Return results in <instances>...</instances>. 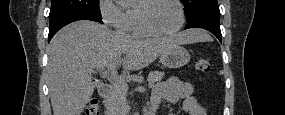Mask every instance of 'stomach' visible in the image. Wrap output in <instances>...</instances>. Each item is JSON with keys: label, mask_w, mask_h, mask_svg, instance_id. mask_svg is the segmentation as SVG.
Instances as JSON below:
<instances>
[{"label": "stomach", "mask_w": 285, "mask_h": 115, "mask_svg": "<svg viewBox=\"0 0 285 115\" xmlns=\"http://www.w3.org/2000/svg\"><path fill=\"white\" fill-rule=\"evenodd\" d=\"M189 61V52L180 45H174L160 54V62L168 68H180Z\"/></svg>", "instance_id": "stomach-1"}]
</instances>
